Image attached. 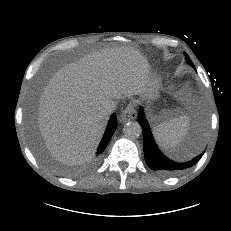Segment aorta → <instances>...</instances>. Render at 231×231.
Returning a JSON list of instances; mask_svg holds the SVG:
<instances>
[{
  "label": "aorta",
  "instance_id": "762f6f07",
  "mask_svg": "<svg viewBox=\"0 0 231 231\" xmlns=\"http://www.w3.org/2000/svg\"><path fill=\"white\" fill-rule=\"evenodd\" d=\"M123 133L128 139H136L142 133V128L138 122L130 121L123 127Z\"/></svg>",
  "mask_w": 231,
  "mask_h": 231
}]
</instances>
